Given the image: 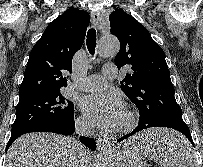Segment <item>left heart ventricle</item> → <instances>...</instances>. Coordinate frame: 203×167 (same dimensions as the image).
<instances>
[{
	"instance_id": "obj_1",
	"label": "left heart ventricle",
	"mask_w": 203,
	"mask_h": 167,
	"mask_svg": "<svg viewBox=\"0 0 203 167\" xmlns=\"http://www.w3.org/2000/svg\"><path fill=\"white\" fill-rule=\"evenodd\" d=\"M124 120H125V118H124V116H123L122 119H121V121H120V123L118 124V126H120L121 124H123Z\"/></svg>"
}]
</instances>
